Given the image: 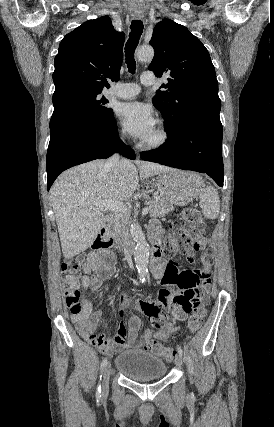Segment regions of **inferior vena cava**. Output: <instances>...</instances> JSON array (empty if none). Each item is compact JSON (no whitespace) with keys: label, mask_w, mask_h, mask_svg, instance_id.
<instances>
[{"label":"inferior vena cava","mask_w":274,"mask_h":427,"mask_svg":"<svg viewBox=\"0 0 274 427\" xmlns=\"http://www.w3.org/2000/svg\"><path fill=\"white\" fill-rule=\"evenodd\" d=\"M119 160L120 156L119 154H114V156H111V158H108L104 168H114L115 172H118L119 170Z\"/></svg>","instance_id":"1"}]
</instances>
